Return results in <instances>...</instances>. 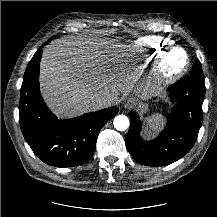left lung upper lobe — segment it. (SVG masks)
Here are the masks:
<instances>
[{
	"label": "left lung upper lobe",
	"instance_id": "5c2ea615",
	"mask_svg": "<svg viewBox=\"0 0 217 217\" xmlns=\"http://www.w3.org/2000/svg\"><path fill=\"white\" fill-rule=\"evenodd\" d=\"M190 77L196 80L200 85L205 86V77L202 71L201 63L197 59L193 65Z\"/></svg>",
	"mask_w": 217,
	"mask_h": 217
}]
</instances>
